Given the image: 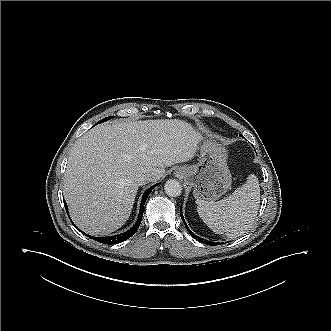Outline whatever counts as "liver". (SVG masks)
I'll return each instance as SVG.
<instances>
[{
  "instance_id": "obj_1",
  "label": "liver",
  "mask_w": 331,
  "mask_h": 331,
  "mask_svg": "<svg viewBox=\"0 0 331 331\" xmlns=\"http://www.w3.org/2000/svg\"><path fill=\"white\" fill-rule=\"evenodd\" d=\"M201 140L181 120L114 121L78 139L64 174V197L74 223L93 235L110 234L129 219L137 178L191 160Z\"/></svg>"
}]
</instances>
